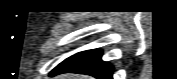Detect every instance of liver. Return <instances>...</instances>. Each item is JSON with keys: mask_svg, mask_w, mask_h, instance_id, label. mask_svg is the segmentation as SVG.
I'll list each match as a JSON object with an SVG mask.
<instances>
[{"mask_svg": "<svg viewBox=\"0 0 177 79\" xmlns=\"http://www.w3.org/2000/svg\"><path fill=\"white\" fill-rule=\"evenodd\" d=\"M58 79H89V77L76 74H63L58 76Z\"/></svg>", "mask_w": 177, "mask_h": 79, "instance_id": "1", "label": "liver"}]
</instances>
